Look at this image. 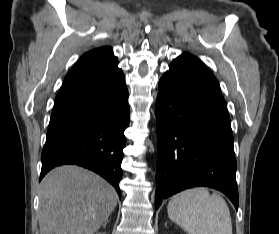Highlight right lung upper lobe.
<instances>
[{"label":"right lung upper lobe","mask_w":279,"mask_h":234,"mask_svg":"<svg viewBox=\"0 0 279 234\" xmlns=\"http://www.w3.org/2000/svg\"><path fill=\"white\" fill-rule=\"evenodd\" d=\"M118 66L111 47H100L83 54L68 72L60 90L97 80Z\"/></svg>","instance_id":"1"}]
</instances>
